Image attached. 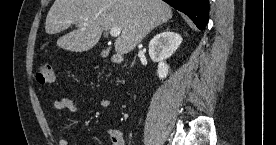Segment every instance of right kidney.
Listing matches in <instances>:
<instances>
[{
	"mask_svg": "<svg viewBox=\"0 0 276 145\" xmlns=\"http://www.w3.org/2000/svg\"><path fill=\"white\" fill-rule=\"evenodd\" d=\"M182 43V37L172 31H163L155 35L149 43V56L158 63L157 75L164 79L168 75V66L165 60L173 55Z\"/></svg>",
	"mask_w": 276,
	"mask_h": 145,
	"instance_id": "ca27d5eb",
	"label": "right kidney"
}]
</instances>
